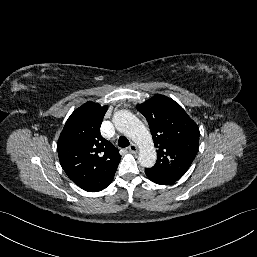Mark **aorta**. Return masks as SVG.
Here are the masks:
<instances>
[{"label": "aorta", "instance_id": "762f6f07", "mask_svg": "<svg viewBox=\"0 0 257 257\" xmlns=\"http://www.w3.org/2000/svg\"><path fill=\"white\" fill-rule=\"evenodd\" d=\"M115 127L130 137L139 146L138 161L141 166L150 168L156 162V150L151 133L130 111L120 110L113 116Z\"/></svg>", "mask_w": 257, "mask_h": 257}]
</instances>
